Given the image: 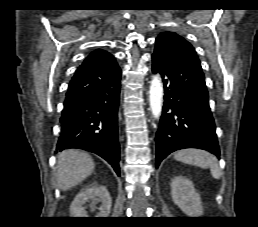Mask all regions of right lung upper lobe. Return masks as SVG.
I'll use <instances>...</instances> for the list:
<instances>
[{"label": "right lung upper lobe", "instance_id": "1", "mask_svg": "<svg viewBox=\"0 0 258 227\" xmlns=\"http://www.w3.org/2000/svg\"><path fill=\"white\" fill-rule=\"evenodd\" d=\"M110 54L107 53L106 51H103V50H96L94 52H92L87 58L86 60L84 61V63H86L87 61L95 58V57H103V56H109ZM83 63V64H84ZM82 64V65H83Z\"/></svg>", "mask_w": 258, "mask_h": 227}]
</instances>
